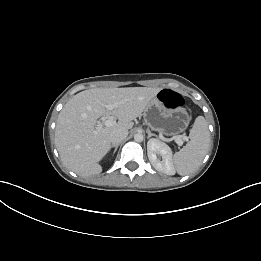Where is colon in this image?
Returning a JSON list of instances; mask_svg holds the SVG:
<instances>
[{
  "instance_id": "1",
  "label": "colon",
  "mask_w": 261,
  "mask_h": 261,
  "mask_svg": "<svg viewBox=\"0 0 261 261\" xmlns=\"http://www.w3.org/2000/svg\"><path fill=\"white\" fill-rule=\"evenodd\" d=\"M159 100L166 108L174 109L183 105L184 101L180 94L177 92L164 89L158 95Z\"/></svg>"
}]
</instances>
